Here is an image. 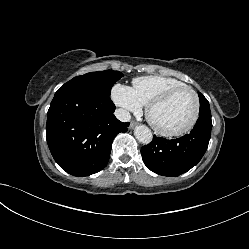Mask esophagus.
Here are the masks:
<instances>
[{
    "mask_svg": "<svg viewBox=\"0 0 249 249\" xmlns=\"http://www.w3.org/2000/svg\"><path fill=\"white\" fill-rule=\"evenodd\" d=\"M136 126H137V122H136V121H132V122L130 123L129 128H130V129H133V128L136 127Z\"/></svg>",
    "mask_w": 249,
    "mask_h": 249,
    "instance_id": "esophagus-1",
    "label": "esophagus"
}]
</instances>
